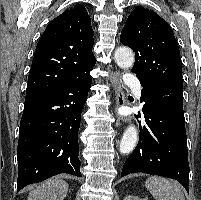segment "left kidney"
Returning a JSON list of instances; mask_svg holds the SVG:
<instances>
[{"instance_id": "left-kidney-1", "label": "left kidney", "mask_w": 201, "mask_h": 200, "mask_svg": "<svg viewBox=\"0 0 201 200\" xmlns=\"http://www.w3.org/2000/svg\"><path fill=\"white\" fill-rule=\"evenodd\" d=\"M124 200H148V199H145V198L141 199L139 197L129 195V196H126Z\"/></svg>"}]
</instances>
